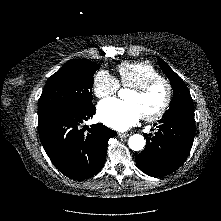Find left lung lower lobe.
I'll return each mask as SVG.
<instances>
[{
  "mask_svg": "<svg viewBox=\"0 0 221 221\" xmlns=\"http://www.w3.org/2000/svg\"><path fill=\"white\" fill-rule=\"evenodd\" d=\"M160 123L155 136L144 134L146 147L136 156L137 166L152 177L177 170L188 157L195 135L194 115L167 116Z\"/></svg>",
  "mask_w": 221,
  "mask_h": 221,
  "instance_id": "0a47b994",
  "label": "left lung lower lobe"
}]
</instances>
